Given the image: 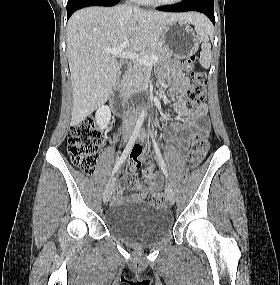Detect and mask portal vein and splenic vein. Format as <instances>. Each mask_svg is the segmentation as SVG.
<instances>
[{
    "mask_svg": "<svg viewBox=\"0 0 280 285\" xmlns=\"http://www.w3.org/2000/svg\"><path fill=\"white\" fill-rule=\"evenodd\" d=\"M129 45V41L123 42L116 48L113 49H105L106 53L112 54L114 57L122 58V59H130V60H137L139 63L152 66L153 63L158 61L157 55H140L133 51L126 50L127 46Z\"/></svg>",
    "mask_w": 280,
    "mask_h": 285,
    "instance_id": "obj_1",
    "label": "portal vein and splenic vein"
}]
</instances>
